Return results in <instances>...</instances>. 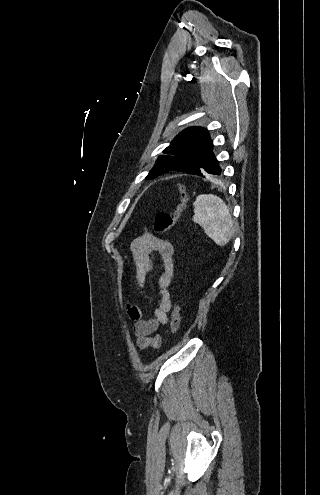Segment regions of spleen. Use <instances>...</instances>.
Masks as SVG:
<instances>
[{
  "mask_svg": "<svg viewBox=\"0 0 320 495\" xmlns=\"http://www.w3.org/2000/svg\"><path fill=\"white\" fill-rule=\"evenodd\" d=\"M194 206L193 221L218 246H225L233 236V221L225 202L213 194L198 195Z\"/></svg>",
  "mask_w": 320,
  "mask_h": 495,
  "instance_id": "1",
  "label": "spleen"
}]
</instances>
